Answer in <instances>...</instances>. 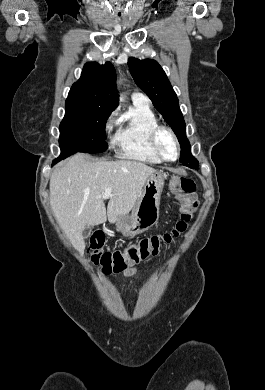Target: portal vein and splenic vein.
I'll list each match as a JSON object with an SVG mask.
<instances>
[{
    "mask_svg": "<svg viewBox=\"0 0 265 390\" xmlns=\"http://www.w3.org/2000/svg\"><path fill=\"white\" fill-rule=\"evenodd\" d=\"M112 196V189L111 188H107V190L104 192V194L102 195L103 198H108Z\"/></svg>",
    "mask_w": 265,
    "mask_h": 390,
    "instance_id": "1",
    "label": "portal vein and splenic vein"
}]
</instances>
